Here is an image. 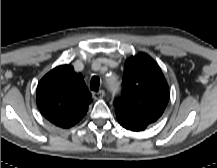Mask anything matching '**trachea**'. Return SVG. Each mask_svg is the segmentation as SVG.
Segmentation results:
<instances>
[{
  "mask_svg": "<svg viewBox=\"0 0 217 168\" xmlns=\"http://www.w3.org/2000/svg\"><path fill=\"white\" fill-rule=\"evenodd\" d=\"M100 85V79L97 76H93L91 79V86L90 89L92 91H98Z\"/></svg>",
  "mask_w": 217,
  "mask_h": 168,
  "instance_id": "obj_1",
  "label": "trachea"
}]
</instances>
